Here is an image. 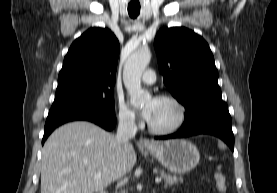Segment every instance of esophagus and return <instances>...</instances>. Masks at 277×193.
Here are the masks:
<instances>
[{"label": "esophagus", "mask_w": 277, "mask_h": 193, "mask_svg": "<svg viewBox=\"0 0 277 193\" xmlns=\"http://www.w3.org/2000/svg\"><path fill=\"white\" fill-rule=\"evenodd\" d=\"M139 143H140L142 146H145V147H149V146H152V145H153L152 141H150V140L147 139V138H143V137H141V138L139 139Z\"/></svg>", "instance_id": "obj_1"}]
</instances>
